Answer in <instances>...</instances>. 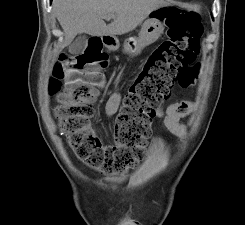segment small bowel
<instances>
[{"instance_id":"small-bowel-1","label":"small bowel","mask_w":245,"mask_h":225,"mask_svg":"<svg viewBox=\"0 0 245 225\" xmlns=\"http://www.w3.org/2000/svg\"><path fill=\"white\" fill-rule=\"evenodd\" d=\"M121 94L119 87L116 86L109 94L104 104V112L108 119H112L118 112L121 105ZM155 118L163 119L168 131L177 137L183 136L184 127L180 122V116L176 113V104H170L167 107L158 106ZM161 146V139L154 138L153 150H158Z\"/></svg>"}]
</instances>
